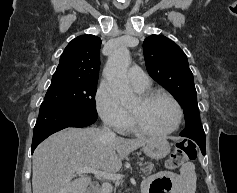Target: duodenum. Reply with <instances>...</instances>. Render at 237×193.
<instances>
[{
    "label": "duodenum",
    "instance_id": "obj_1",
    "mask_svg": "<svg viewBox=\"0 0 237 193\" xmlns=\"http://www.w3.org/2000/svg\"><path fill=\"white\" fill-rule=\"evenodd\" d=\"M88 193H95L94 190H89Z\"/></svg>",
    "mask_w": 237,
    "mask_h": 193
}]
</instances>
